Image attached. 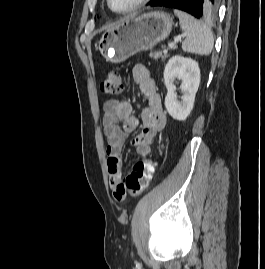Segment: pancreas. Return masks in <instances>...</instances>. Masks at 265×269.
<instances>
[{
  "label": "pancreas",
  "mask_w": 265,
  "mask_h": 269,
  "mask_svg": "<svg viewBox=\"0 0 265 269\" xmlns=\"http://www.w3.org/2000/svg\"><path fill=\"white\" fill-rule=\"evenodd\" d=\"M149 56L151 58H153L154 60L161 58L163 61L169 57V55L167 53H162L161 51H151L149 53Z\"/></svg>",
  "instance_id": "pancreas-1"
}]
</instances>
